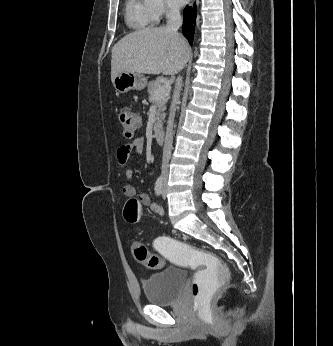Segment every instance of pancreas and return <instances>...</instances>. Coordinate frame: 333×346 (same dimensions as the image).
<instances>
[{
	"label": "pancreas",
	"instance_id": "cf45deb5",
	"mask_svg": "<svg viewBox=\"0 0 333 346\" xmlns=\"http://www.w3.org/2000/svg\"><path fill=\"white\" fill-rule=\"evenodd\" d=\"M162 86L160 79L156 81H150L148 83V93H149V101L153 102L156 108L155 112V122H154V131H157L160 127H162V120L165 118V110L166 103L168 99L166 97L155 99V92Z\"/></svg>",
	"mask_w": 333,
	"mask_h": 346
}]
</instances>
